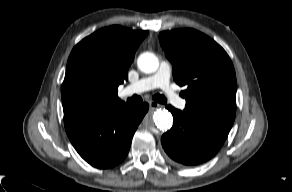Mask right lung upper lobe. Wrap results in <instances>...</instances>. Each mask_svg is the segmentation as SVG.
Listing matches in <instances>:
<instances>
[{"instance_id":"1","label":"right lung upper lobe","mask_w":292,"mask_h":192,"mask_svg":"<svg viewBox=\"0 0 292 192\" xmlns=\"http://www.w3.org/2000/svg\"><path fill=\"white\" fill-rule=\"evenodd\" d=\"M147 35L148 31L114 25L80 41L71 51L62 84L64 114L107 111L125 104L117 95L118 86L127 80L135 51ZM77 81H84L92 90L85 100L72 93Z\"/></svg>"}]
</instances>
